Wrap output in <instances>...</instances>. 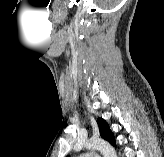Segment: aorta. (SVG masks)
<instances>
[{"instance_id":"aorta-1","label":"aorta","mask_w":164,"mask_h":157,"mask_svg":"<svg viewBox=\"0 0 164 157\" xmlns=\"http://www.w3.org/2000/svg\"><path fill=\"white\" fill-rule=\"evenodd\" d=\"M86 149L88 150H98L104 157H116V152L114 148L106 141L101 139H93L86 143Z\"/></svg>"}]
</instances>
